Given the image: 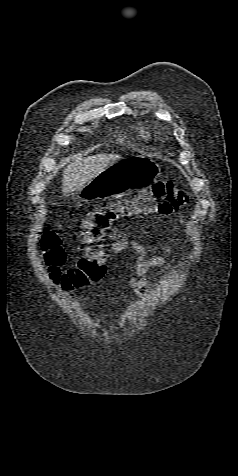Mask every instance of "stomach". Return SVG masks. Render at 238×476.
<instances>
[{
    "label": "stomach",
    "instance_id": "obj_1",
    "mask_svg": "<svg viewBox=\"0 0 238 476\" xmlns=\"http://www.w3.org/2000/svg\"><path fill=\"white\" fill-rule=\"evenodd\" d=\"M156 162L149 156H126L99 173L77 192L79 199L123 195L124 190H146L157 179Z\"/></svg>",
    "mask_w": 238,
    "mask_h": 476
}]
</instances>
